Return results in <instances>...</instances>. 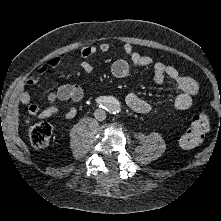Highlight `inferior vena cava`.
Instances as JSON below:
<instances>
[{"instance_id":"1","label":"inferior vena cava","mask_w":221,"mask_h":221,"mask_svg":"<svg viewBox=\"0 0 221 221\" xmlns=\"http://www.w3.org/2000/svg\"><path fill=\"white\" fill-rule=\"evenodd\" d=\"M94 115H95V118L99 121H103L106 118V112L102 109H97Z\"/></svg>"}]
</instances>
